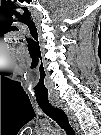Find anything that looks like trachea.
<instances>
[{"instance_id": "1", "label": "trachea", "mask_w": 101, "mask_h": 135, "mask_svg": "<svg viewBox=\"0 0 101 135\" xmlns=\"http://www.w3.org/2000/svg\"><path fill=\"white\" fill-rule=\"evenodd\" d=\"M39 107L42 111L56 121L68 135H74L75 132L73 128L69 125L68 117L65 112L61 108H57L48 103H38Z\"/></svg>"}]
</instances>
